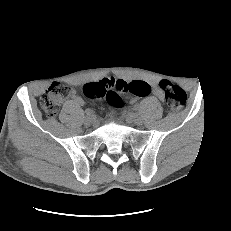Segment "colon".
I'll return each mask as SVG.
<instances>
[{
  "instance_id": "colon-1",
  "label": "colon",
  "mask_w": 231,
  "mask_h": 231,
  "mask_svg": "<svg viewBox=\"0 0 231 231\" xmlns=\"http://www.w3.org/2000/svg\"><path fill=\"white\" fill-rule=\"evenodd\" d=\"M159 87L164 93L165 103L172 111H179L186 102V94L182 88L162 79ZM86 97L103 98L112 106H121V94L131 93L135 96L144 97L150 92V86L145 81H131L102 79L98 82L88 83L83 87ZM71 94V88L67 84L52 83L42 95L40 104L48 117H54L58 113L62 101Z\"/></svg>"
}]
</instances>
